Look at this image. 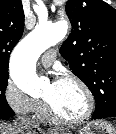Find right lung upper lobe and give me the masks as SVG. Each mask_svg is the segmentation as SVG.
<instances>
[{
	"instance_id": "right-lung-upper-lobe-1",
	"label": "right lung upper lobe",
	"mask_w": 116,
	"mask_h": 134,
	"mask_svg": "<svg viewBox=\"0 0 116 134\" xmlns=\"http://www.w3.org/2000/svg\"><path fill=\"white\" fill-rule=\"evenodd\" d=\"M24 29L21 0H0V73H8L9 56Z\"/></svg>"
}]
</instances>
